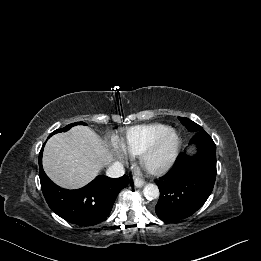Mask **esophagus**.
<instances>
[{
    "label": "esophagus",
    "instance_id": "esophagus-1",
    "mask_svg": "<svg viewBox=\"0 0 261 261\" xmlns=\"http://www.w3.org/2000/svg\"><path fill=\"white\" fill-rule=\"evenodd\" d=\"M134 184H135V186H136L137 188H141V187H143V186L145 185V181L142 180V179H136V180L134 181Z\"/></svg>",
    "mask_w": 261,
    "mask_h": 261
}]
</instances>
